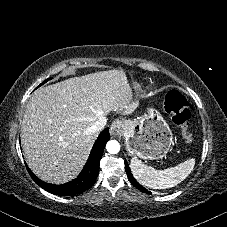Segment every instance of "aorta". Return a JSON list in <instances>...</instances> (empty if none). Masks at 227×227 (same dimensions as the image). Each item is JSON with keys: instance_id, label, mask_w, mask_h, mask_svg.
Instances as JSON below:
<instances>
[{"instance_id": "aorta-1", "label": "aorta", "mask_w": 227, "mask_h": 227, "mask_svg": "<svg viewBox=\"0 0 227 227\" xmlns=\"http://www.w3.org/2000/svg\"><path fill=\"white\" fill-rule=\"evenodd\" d=\"M106 149L110 154H117L120 151V144L116 140H110L106 144Z\"/></svg>"}]
</instances>
